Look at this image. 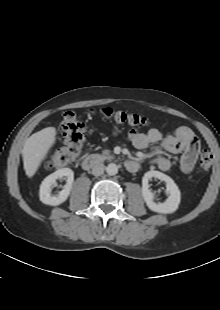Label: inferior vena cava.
Instances as JSON below:
<instances>
[{"label":"inferior vena cava","instance_id":"obj_1","mask_svg":"<svg viewBox=\"0 0 220 310\" xmlns=\"http://www.w3.org/2000/svg\"><path fill=\"white\" fill-rule=\"evenodd\" d=\"M104 170H105V166L103 163H95L93 166H92V174L94 176H100L104 173Z\"/></svg>","mask_w":220,"mask_h":310}]
</instances>
